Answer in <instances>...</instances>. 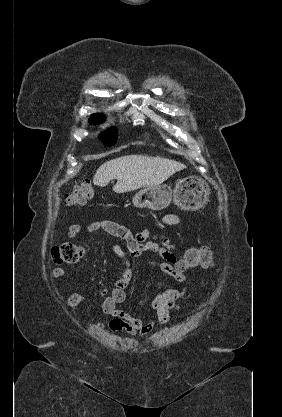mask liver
Listing matches in <instances>:
<instances>
[{"label": "liver", "instance_id": "obj_1", "mask_svg": "<svg viewBox=\"0 0 282 417\" xmlns=\"http://www.w3.org/2000/svg\"><path fill=\"white\" fill-rule=\"evenodd\" d=\"M186 168L183 162L164 158V156H144V154H127L103 162L97 168L93 182L106 186L112 178H117L114 192H129L142 186H157L167 180L177 170Z\"/></svg>", "mask_w": 282, "mask_h": 417}]
</instances>
